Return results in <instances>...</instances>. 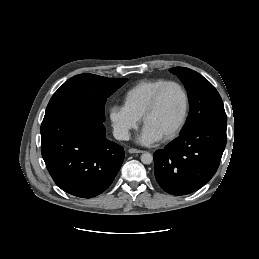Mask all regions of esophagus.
<instances>
[{
  "instance_id": "34e87169",
  "label": "esophagus",
  "mask_w": 259,
  "mask_h": 259,
  "mask_svg": "<svg viewBox=\"0 0 259 259\" xmlns=\"http://www.w3.org/2000/svg\"><path fill=\"white\" fill-rule=\"evenodd\" d=\"M129 153L131 154H139V153H143L144 151L143 150H139V149H135V148H130L128 150Z\"/></svg>"
}]
</instances>
